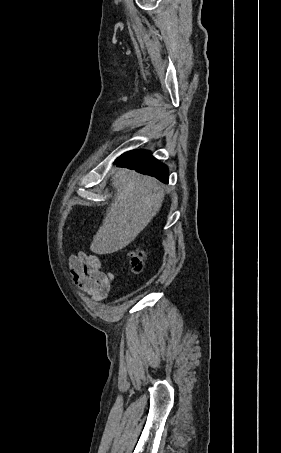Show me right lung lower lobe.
<instances>
[{"label": "right lung lower lobe", "mask_w": 281, "mask_h": 453, "mask_svg": "<svg viewBox=\"0 0 281 453\" xmlns=\"http://www.w3.org/2000/svg\"><path fill=\"white\" fill-rule=\"evenodd\" d=\"M119 167L134 169L142 174L154 176L162 182L168 183V169L166 165L151 156L146 150H133L124 153L115 161Z\"/></svg>", "instance_id": "obj_1"}]
</instances>
